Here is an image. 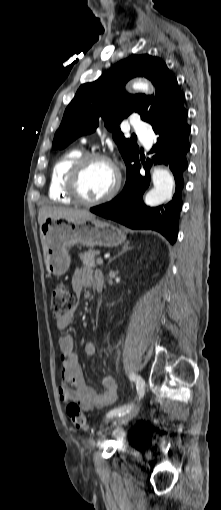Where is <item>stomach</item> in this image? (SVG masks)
I'll return each instance as SVG.
<instances>
[{
	"label": "stomach",
	"mask_w": 221,
	"mask_h": 510,
	"mask_svg": "<svg viewBox=\"0 0 221 510\" xmlns=\"http://www.w3.org/2000/svg\"><path fill=\"white\" fill-rule=\"evenodd\" d=\"M44 261L50 274L61 276L69 269V249L81 244L87 247H114L126 240L122 229L96 218L67 220L47 217L40 226Z\"/></svg>",
	"instance_id": "0dacf381"
}]
</instances>
